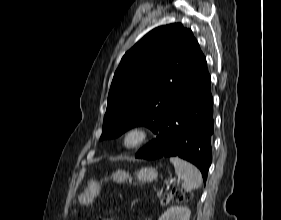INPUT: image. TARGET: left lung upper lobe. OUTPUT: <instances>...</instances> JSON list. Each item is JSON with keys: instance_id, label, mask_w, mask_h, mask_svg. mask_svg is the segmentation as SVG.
<instances>
[{"instance_id": "5c2ea615", "label": "left lung upper lobe", "mask_w": 281, "mask_h": 220, "mask_svg": "<svg viewBox=\"0 0 281 220\" xmlns=\"http://www.w3.org/2000/svg\"><path fill=\"white\" fill-rule=\"evenodd\" d=\"M203 59L192 31L180 23L146 34L125 53L114 74L100 139L136 125L157 134L178 88Z\"/></svg>"}]
</instances>
